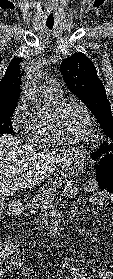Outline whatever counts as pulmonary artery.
<instances>
[{
  "instance_id": "1",
  "label": "pulmonary artery",
  "mask_w": 113,
  "mask_h": 279,
  "mask_svg": "<svg viewBox=\"0 0 113 279\" xmlns=\"http://www.w3.org/2000/svg\"><path fill=\"white\" fill-rule=\"evenodd\" d=\"M42 88L46 92V94L51 95L56 98L60 97L62 94L60 84L53 78H48L43 83Z\"/></svg>"
}]
</instances>
